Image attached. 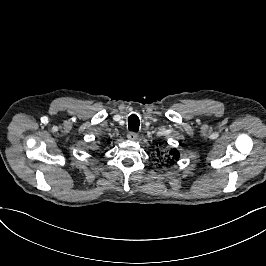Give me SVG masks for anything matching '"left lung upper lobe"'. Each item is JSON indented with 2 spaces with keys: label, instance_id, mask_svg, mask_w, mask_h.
Returning a JSON list of instances; mask_svg holds the SVG:
<instances>
[{
  "label": "left lung upper lobe",
  "instance_id": "1",
  "mask_svg": "<svg viewBox=\"0 0 266 266\" xmlns=\"http://www.w3.org/2000/svg\"><path fill=\"white\" fill-rule=\"evenodd\" d=\"M170 163H174V160H178L179 159V152L176 149H173L170 151Z\"/></svg>",
  "mask_w": 266,
  "mask_h": 266
}]
</instances>
